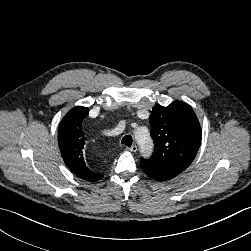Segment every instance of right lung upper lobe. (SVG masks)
I'll use <instances>...</instances> for the list:
<instances>
[{
	"label": "right lung upper lobe",
	"mask_w": 251,
	"mask_h": 251,
	"mask_svg": "<svg viewBox=\"0 0 251 251\" xmlns=\"http://www.w3.org/2000/svg\"><path fill=\"white\" fill-rule=\"evenodd\" d=\"M87 107H75L60 122L58 144L67 167L79 178L86 181H98L103 176L89 169L83 156L86 141L82 130V121L88 115Z\"/></svg>",
	"instance_id": "right-lung-upper-lobe-1"
}]
</instances>
